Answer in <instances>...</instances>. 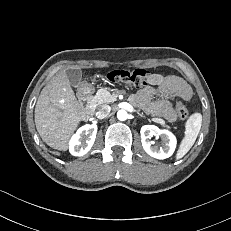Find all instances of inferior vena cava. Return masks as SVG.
<instances>
[{
    "mask_svg": "<svg viewBox=\"0 0 231 231\" xmlns=\"http://www.w3.org/2000/svg\"><path fill=\"white\" fill-rule=\"evenodd\" d=\"M111 111V107L109 105H101L97 108L96 116L100 119L105 118Z\"/></svg>",
    "mask_w": 231,
    "mask_h": 231,
    "instance_id": "602c4592",
    "label": "inferior vena cava"
}]
</instances>
